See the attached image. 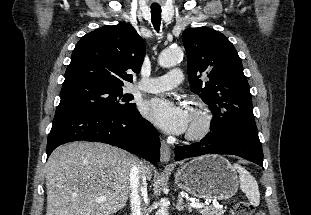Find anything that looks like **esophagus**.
Returning <instances> with one entry per match:
<instances>
[{"instance_id": "esophagus-1", "label": "esophagus", "mask_w": 311, "mask_h": 215, "mask_svg": "<svg viewBox=\"0 0 311 215\" xmlns=\"http://www.w3.org/2000/svg\"><path fill=\"white\" fill-rule=\"evenodd\" d=\"M161 162L168 164L171 158V149L164 140L161 141Z\"/></svg>"}]
</instances>
